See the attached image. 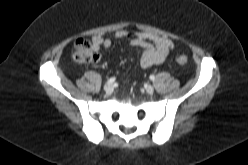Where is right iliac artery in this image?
I'll return each mask as SVG.
<instances>
[{"mask_svg": "<svg viewBox=\"0 0 248 165\" xmlns=\"http://www.w3.org/2000/svg\"><path fill=\"white\" fill-rule=\"evenodd\" d=\"M115 81V77H111L108 81H107V83H113Z\"/></svg>", "mask_w": 248, "mask_h": 165, "instance_id": "right-iliac-artery-1", "label": "right iliac artery"}]
</instances>
